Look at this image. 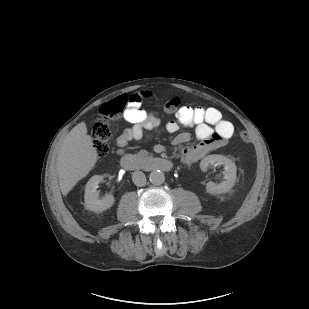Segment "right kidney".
I'll use <instances>...</instances> for the list:
<instances>
[{"instance_id": "1", "label": "right kidney", "mask_w": 309, "mask_h": 309, "mask_svg": "<svg viewBox=\"0 0 309 309\" xmlns=\"http://www.w3.org/2000/svg\"><path fill=\"white\" fill-rule=\"evenodd\" d=\"M102 175H94L87 182L85 187V207L93 212H102L111 208L115 202L114 196L112 194L106 195L104 198L99 199V193L96 190L98 184L103 180Z\"/></svg>"}]
</instances>
